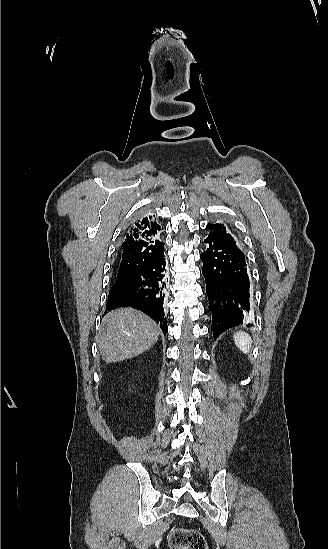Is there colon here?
Masks as SVG:
<instances>
[{"mask_svg": "<svg viewBox=\"0 0 328 549\" xmlns=\"http://www.w3.org/2000/svg\"><path fill=\"white\" fill-rule=\"evenodd\" d=\"M168 543L171 549H207L205 537L201 532L183 527L171 531Z\"/></svg>", "mask_w": 328, "mask_h": 549, "instance_id": "obj_1", "label": "colon"}]
</instances>
